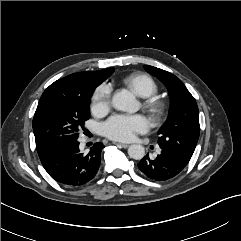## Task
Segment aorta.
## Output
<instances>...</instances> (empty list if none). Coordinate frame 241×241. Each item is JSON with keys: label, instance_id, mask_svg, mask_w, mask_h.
<instances>
[{"label": "aorta", "instance_id": "762f6f07", "mask_svg": "<svg viewBox=\"0 0 241 241\" xmlns=\"http://www.w3.org/2000/svg\"><path fill=\"white\" fill-rule=\"evenodd\" d=\"M112 105L117 110L129 113H134L139 109L138 101L134 95L126 90L114 94ZM128 155L135 160H140L145 156V149L140 144H133L128 148Z\"/></svg>", "mask_w": 241, "mask_h": 241}]
</instances>
